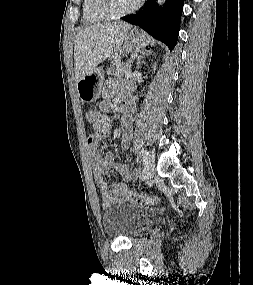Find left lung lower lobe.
<instances>
[{"mask_svg":"<svg viewBox=\"0 0 253 285\" xmlns=\"http://www.w3.org/2000/svg\"><path fill=\"white\" fill-rule=\"evenodd\" d=\"M183 4L184 0H167L164 7H157L156 0H147L138 13L121 19L138 25L172 50L178 39Z\"/></svg>","mask_w":253,"mask_h":285,"instance_id":"0a47b994","label":"left lung lower lobe"}]
</instances>
